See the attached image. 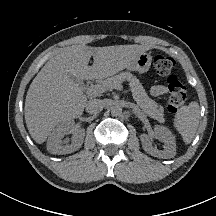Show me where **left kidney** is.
Segmentation results:
<instances>
[{
    "mask_svg": "<svg viewBox=\"0 0 216 216\" xmlns=\"http://www.w3.org/2000/svg\"><path fill=\"white\" fill-rule=\"evenodd\" d=\"M154 136L162 140L164 143V150H158L157 148H154L151 142L152 136L147 134H142L140 136L143 149L148 154L155 157L164 159L173 158L176 154V142L171 131L166 127L157 125L154 128Z\"/></svg>",
    "mask_w": 216,
    "mask_h": 216,
    "instance_id": "left-kidney-1",
    "label": "left kidney"
}]
</instances>
